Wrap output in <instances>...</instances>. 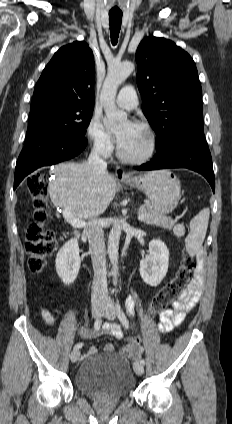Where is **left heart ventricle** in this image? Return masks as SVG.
<instances>
[{"instance_id":"b2bd125f","label":"left heart ventricle","mask_w":232,"mask_h":424,"mask_svg":"<svg viewBox=\"0 0 232 424\" xmlns=\"http://www.w3.org/2000/svg\"><path fill=\"white\" fill-rule=\"evenodd\" d=\"M127 123L121 124L117 133H120ZM122 150L126 155L139 156L144 154L149 148V137L147 133L137 125H134L129 132L126 140L121 145Z\"/></svg>"}]
</instances>
